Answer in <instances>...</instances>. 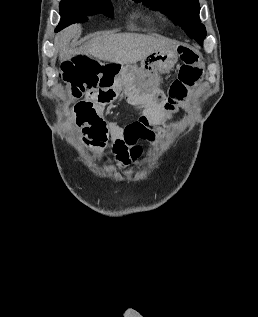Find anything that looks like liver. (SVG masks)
<instances>
[{"label": "liver", "instance_id": "obj_1", "mask_svg": "<svg viewBox=\"0 0 258 317\" xmlns=\"http://www.w3.org/2000/svg\"><path fill=\"white\" fill-rule=\"evenodd\" d=\"M81 24H70L65 30H61L55 38L56 46H59L60 60H68L74 54H87L98 60L120 62V64H132L143 60L151 52L156 50H172L177 44L164 36H148L138 32H117V34H102L86 40L83 46L69 48L72 38L81 34Z\"/></svg>", "mask_w": 258, "mask_h": 317}]
</instances>
